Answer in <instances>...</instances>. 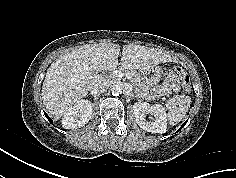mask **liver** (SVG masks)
Listing matches in <instances>:
<instances>
[{"label":"liver","mask_w":236,"mask_h":178,"mask_svg":"<svg viewBox=\"0 0 236 178\" xmlns=\"http://www.w3.org/2000/svg\"><path fill=\"white\" fill-rule=\"evenodd\" d=\"M119 55L118 44L98 43L75 48L53 61L42 86V100L47 111L63 117L95 84L110 83L99 72L115 70L119 64L126 70H144L173 61L165 52L135 44L123 46L120 63Z\"/></svg>","instance_id":"1"}]
</instances>
